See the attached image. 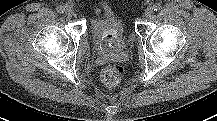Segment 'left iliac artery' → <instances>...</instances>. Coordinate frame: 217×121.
Wrapping results in <instances>:
<instances>
[{
	"instance_id": "left-iliac-artery-1",
	"label": "left iliac artery",
	"mask_w": 217,
	"mask_h": 121,
	"mask_svg": "<svg viewBox=\"0 0 217 121\" xmlns=\"http://www.w3.org/2000/svg\"><path fill=\"white\" fill-rule=\"evenodd\" d=\"M160 9H161V5L159 3H156V4L153 5V10L154 11H158Z\"/></svg>"
}]
</instances>
